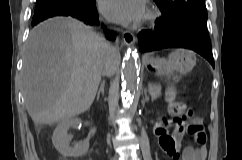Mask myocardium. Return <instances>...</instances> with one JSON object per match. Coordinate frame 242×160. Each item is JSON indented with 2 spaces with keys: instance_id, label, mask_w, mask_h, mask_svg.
<instances>
[{
  "instance_id": "1",
  "label": "myocardium",
  "mask_w": 242,
  "mask_h": 160,
  "mask_svg": "<svg viewBox=\"0 0 242 160\" xmlns=\"http://www.w3.org/2000/svg\"><path fill=\"white\" fill-rule=\"evenodd\" d=\"M160 17V13L158 10L151 8L147 11L144 17V23L148 25H153Z\"/></svg>"
}]
</instances>
